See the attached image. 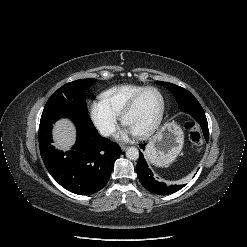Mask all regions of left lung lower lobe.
Listing matches in <instances>:
<instances>
[{"instance_id": "1", "label": "left lung lower lobe", "mask_w": 247, "mask_h": 247, "mask_svg": "<svg viewBox=\"0 0 247 247\" xmlns=\"http://www.w3.org/2000/svg\"><path fill=\"white\" fill-rule=\"evenodd\" d=\"M199 125L202 128L203 136L208 142L209 131H208V123L207 119L203 118L198 121ZM143 149L145 145L141 146ZM136 171L139 177L141 184L150 192L158 195H168L178 190L182 189L185 185H166L161 182L159 178L155 176L152 170L149 168L147 162L145 161L143 154L140 153L139 160L136 165Z\"/></svg>"}]
</instances>
